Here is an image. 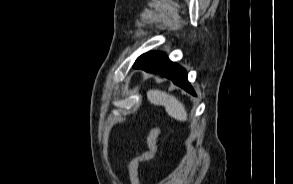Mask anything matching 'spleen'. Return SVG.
Wrapping results in <instances>:
<instances>
[{"label":"spleen","instance_id":"obj_1","mask_svg":"<svg viewBox=\"0 0 293 184\" xmlns=\"http://www.w3.org/2000/svg\"><path fill=\"white\" fill-rule=\"evenodd\" d=\"M147 98L154 105L164 106L166 112L172 118L182 122L187 120L186 109L175 96L160 90H149Z\"/></svg>","mask_w":293,"mask_h":184}]
</instances>
